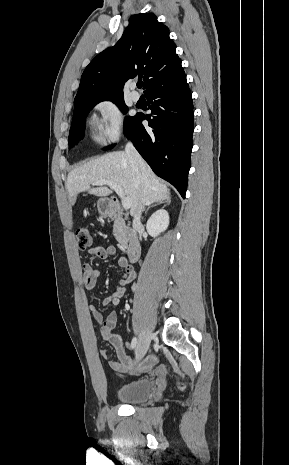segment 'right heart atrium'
Listing matches in <instances>:
<instances>
[{
    "label": "right heart atrium",
    "mask_w": 289,
    "mask_h": 465,
    "mask_svg": "<svg viewBox=\"0 0 289 465\" xmlns=\"http://www.w3.org/2000/svg\"><path fill=\"white\" fill-rule=\"evenodd\" d=\"M100 113L99 131L101 137L108 142H116L124 129V115L118 103L112 99H104L97 103Z\"/></svg>",
    "instance_id": "1"
}]
</instances>
